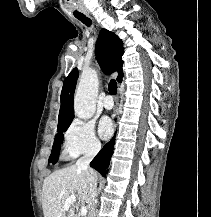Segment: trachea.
Returning a JSON list of instances; mask_svg holds the SVG:
<instances>
[{
    "instance_id": "obj_1",
    "label": "trachea",
    "mask_w": 211,
    "mask_h": 217,
    "mask_svg": "<svg viewBox=\"0 0 211 217\" xmlns=\"http://www.w3.org/2000/svg\"><path fill=\"white\" fill-rule=\"evenodd\" d=\"M82 23L90 26L91 24V21L89 18H86V17H81V18H78ZM108 90L109 92L112 94V95H116L117 93V83L115 80H111L110 83L108 84Z\"/></svg>"
}]
</instances>
